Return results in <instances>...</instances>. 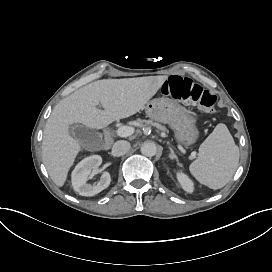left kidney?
Instances as JSON below:
<instances>
[{
	"mask_svg": "<svg viewBox=\"0 0 272 272\" xmlns=\"http://www.w3.org/2000/svg\"><path fill=\"white\" fill-rule=\"evenodd\" d=\"M178 180L180 181L184 190H186L188 192H192L193 184L184 174H179Z\"/></svg>",
	"mask_w": 272,
	"mask_h": 272,
	"instance_id": "obj_1",
	"label": "left kidney"
}]
</instances>
